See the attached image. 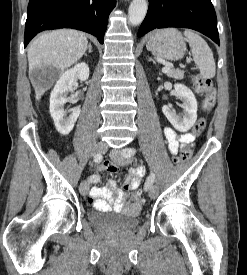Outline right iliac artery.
Wrapping results in <instances>:
<instances>
[{
    "mask_svg": "<svg viewBox=\"0 0 247 275\" xmlns=\"http://www.w3.org/2000/svg\"><path fill=\"white\" fill-rule=\"evenodd\" d=\"M101 160H102V155H100V154H95L94 155V162L95 163H99V162H101ZM89 181L92 182V183H97V182L100 181V177L98 175H95V174L91 175L89 177Z\"/></svg>",
    "mask_w": 247,
    "mask_h": 275,
    "instance_id": "obj_1",
    "label": "right iliac artery"
}]
</instances>
